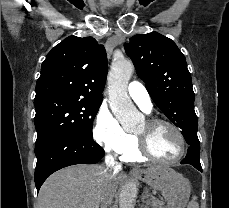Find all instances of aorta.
I'll list each match as a JSON object with an SVG mask.
<instances>
[{
	"mask_svg": "<svg viewBox=\"0 0 229 208\" xmlns=\"http://www.w3.org/2000/svg\"><path fill=\"white\" fill-rule=\"evenodd\" d=\"M133 71L134 66L131 61L121 60L112 63L108 76L109 104L112 112L126 130L134 129L144 118L127 92ZM137 192L135 182L125 183L120 192L119 208H134Z\"/></svg>",
	"mask_w": 229,
	"mask_h": 208,
	"instance_id": "aorta-1",
	"label": "aorta"
}]
</instances>
